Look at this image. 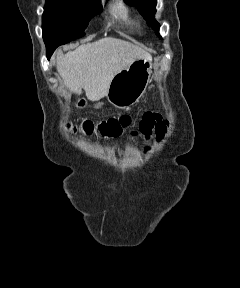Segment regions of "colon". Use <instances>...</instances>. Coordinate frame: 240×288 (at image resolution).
<instances>
[{
    "mask_svg": "<svg viewBox=\"0 0 240 288\" xmlns=\"http://www.w3.org/2000/svg\"><path fill=\"white\" fill-rule=\"evenodd\" d=\"M132 123L128 115L112 117L99 123L85 121L79 126L67 124V129L71 132H82L86 135L98 134L106 138H115L120 136Z\"/></svg>",
    "mask_w": 240,
    "mask_h": 288,
    "instance_id": "1",
    "label": "colon"
}]
</instances>
